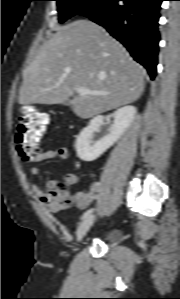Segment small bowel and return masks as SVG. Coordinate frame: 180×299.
Returning a JSON list of instances; mask_svg holds the SVG:
<instances>
[{
  "label": "small bowel",
  "instance_id": "obj_1",
  "mask_svg": "<svg viewBox=\"0 0 180 299\" xmlns=\"http://www.w3.org/2000/svg\"><path fill=\"white\" fill-rule=\"evenodd\" d=\"M40 139V138H39ZM39 141V140H38ZM69 157V153L66 147H60L56 150H46L39 152L33 159V163L42 162L46 160H52L55 158H59L61 160H66ZM41 169L38 165H32L30 167V173L32 175H39ZM66 184L68 185H76L78 182V177L74 173H67L64 178ZM58 184L57 179H49L43 188L36 186L35 184L31 185V188L35 195L38 197L39 201L42 205H44L48 211L54 212L55 207L51 204V191L54 187ZM75 198V205L78 209L86 208L94 198V188L90 191H78L74 195Z\"/></svg>",
  "mask_w": 180,
  "mask_h": 299
}]
</instances>
